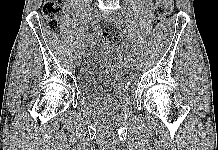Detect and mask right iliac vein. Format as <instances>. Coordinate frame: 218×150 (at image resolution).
<instances>
[{"label":"right iliac vein","instance_id":"63e3f726","mask_svg":"<svg viewBox=\"0 0 218 150\" xmlns=\"http://www.w3.org/2000/svg\"><path fill=\"white\" fill-rule=\"evenodd\" d=\"M98 19H99L98 12L95 11V12L92 14L91 20H92V21H98ZM81 50H82L83 52L86 50V44H81Z\"/></svg>","mask_w":218,"mask_h":150}]
</instances>
